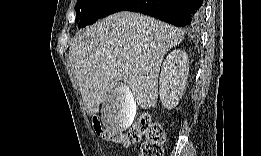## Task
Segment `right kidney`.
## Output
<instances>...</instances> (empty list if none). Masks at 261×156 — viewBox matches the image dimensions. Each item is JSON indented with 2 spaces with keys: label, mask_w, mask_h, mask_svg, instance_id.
Here are the masks:
<instances>
[{
  "label": "right kidney",
  "mask_w": 261,
  "mask_h": 156,
  "mask_svg": "<svg viewBox=\"0 0 261 156\" xmlns=\"http://www.w3.org/2000/svg\"><path fill=\"white\" fill-rule=\"evenodd\" d=\"M189 72L186 52L178 49L168 54L160 74V100L163 107L174 108L180 101L185 89Z\"/></svg>",
  "instance_id": "obj_1"
}]
</instances>
